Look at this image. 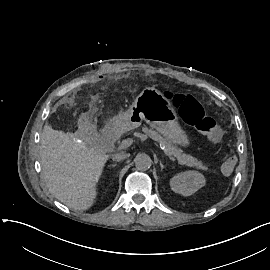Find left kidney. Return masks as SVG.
<instances>
[{"instance_id":"1","label":"left kidney","mask_w":270,"mask_h":270,"mask_svg":"<svg viewBox=\"0 0 270 270\" xmlns=\"http://www.w3.org/2000/svg\"><path fill=\"white\" fill-rule=\"evenodd\" d=\"M205 177L198 171L178 173L170 179L171 189L183 196H190L205 186Z\"/></svg>"}]
</instances>
